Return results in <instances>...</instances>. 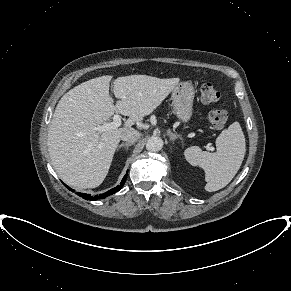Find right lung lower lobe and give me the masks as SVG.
Returning <instances> with one entry per match:
<instances>
[{
	"label": "right lung lower lobe",
	"instance_id": "obj_1",
	"mask_svg": "<svg viewBox=\"0 0 291 291\" xmlns=\"http://www.w3.org/2000/svg\"><path fill=\"white\" fill-rule=\"evenodd\" d=\"M127 174H128V171H127L126 175L123 177V179H122L120 185H118V186L115 187V188H112L111 190H109V191H107V192H105V193H103V194H99V195L92 196V195H90V194H85V193H83V194H80V196H82V198H84V199H86V200H91V201L98 200V199H104L105 197H107V196H109V195H112L113 193L119 191V190L124 186V184H125V182H126V179H127ZM64 185H65V184H64ZM65 186H66L69 190H72V189H71L70 187H68L67 185H65ZM72 191H74V190H72ZM78 195H79V193H78Z\"/></svg>",
	"mask_w": 291,
	"mask_h": 291
}]
</instances>
